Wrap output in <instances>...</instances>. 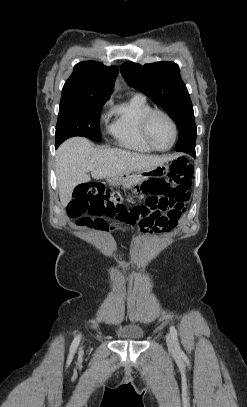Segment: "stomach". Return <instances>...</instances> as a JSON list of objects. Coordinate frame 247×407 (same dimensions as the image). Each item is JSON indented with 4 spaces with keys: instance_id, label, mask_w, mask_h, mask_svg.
Instances as JSON below:
<instances>
[{
    "instance_id": "stomach-1",
    "label": "stomach",
    "mask_w": 247,
    "mask_h": 407,
    "mask_svg": "<svg viewBox=\"0 0 247 407\" xmlns=\"http://www.w3.org/2000/svg\"><path fill=\"white\" fill-rule=\"evenodd\" d=\"M169 171L168 164L158 166H139L138 169H130L129 174L116 175L107 178L110 185L116 186L126 183L129 179L141 181L144 178H153V176L162 177Z\"/></svg>"
}]
</instances>
